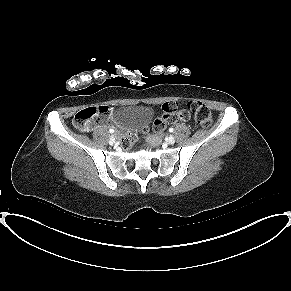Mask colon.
<instances>
[{"label":"colon","mask_w":291,"mask_h":291,"mask_svg":"<svg viewBox=\"0 0 291 291\" xmlns=\"http://www.w3.org/2000/svg\"><path fill=\"white\" fill-rule=\"evenodd\" d=\"M189 112L193 113L196 121L203 127L207 128L212 124V116L209 108L199 102H189ZM178 112V106L174 102L165 103L162 106V113L159 118L154 121L153 129L157 132H162L166 124L175 120ZM113 115V109L109 106H91L78 111L74 116V125L81 131H87L94 125L106 124L110 121ZM149 130L146 126L142 129L143 132ZM137 138L136 132H131L125 140V145L129 146Z\"/></svg>","instance_id":"5ec220e1"}]
</instances>
